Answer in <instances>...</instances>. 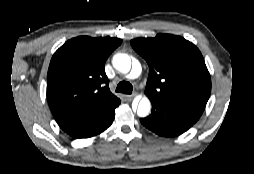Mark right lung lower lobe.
<instances>
[{
  "label": "right lung lower lobe",
  "mask_w": 254,
  "mask_h": 174,
  "mask_svg": "<svg viewBox=\"0 0 254 174\" xmlns=\"http://www.w3.org/2000/svg\"><path fill=\"white\" fill-rule=\"evenodd\" d=\"M120 103L87 107L72 117L59 122L60 128L73 138H90L106 130L113 122L115 108Z\"/></svg>",
  "instance_id": "right-lung-lower-lobe-1"
}]
</instances>
